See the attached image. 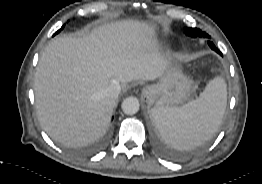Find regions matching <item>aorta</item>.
<instances>
[{"mask_svg":"<svg viewBox=\"0 0 262 184\" xmlns=\"http://www.w3.org/2000/svg\"><path fill=\"white\" fill-rule=\"evenodd\" d=\"M139 101L136 97L130 96L123 100L121 108L126 115H134L139 111Z\"/></svg>","mask_w":262,"mask_h":184,"instance_id":"1","label":"aorta"}]
</instances>
